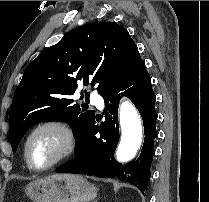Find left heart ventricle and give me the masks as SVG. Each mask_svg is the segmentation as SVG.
<instances>
[{"label": "left heart ventricle", "mask_w": 209, "mask_h": 202, "mask_svg": "<svg viewBox=\"0 0 209 202\" xmlns=\"http://www.w3.org/2000/svg\"><path fill=\"white\" fill-rule=\"evenodd\" d=\"M61 146L59 134L51 129L38 132L30 141L29 151L33 163L42 167L55 157Z\"/></svg>", "instance_id": "obj_1"}]
</instances>
